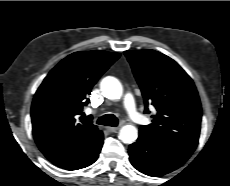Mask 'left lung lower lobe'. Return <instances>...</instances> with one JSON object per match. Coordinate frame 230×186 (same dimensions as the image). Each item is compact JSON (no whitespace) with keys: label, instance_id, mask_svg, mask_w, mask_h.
I'll return each mask as SVG.
<instances>
[{"label":"left lung lower lobe","instance_id":"1","mask_svg":"<svg viewBox=\"0 0 230 186\" xmlns=\"http://www.w3.org/2000/svg\"><path fill=\"white\" fill-rule=\"evenodd\" d=\"M194 149L140 134L137 141L129 146V159L138 171L158 177L182 166Z\"/></svg>","mask_w":230,"mask_h":186}]
</instances>
